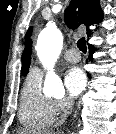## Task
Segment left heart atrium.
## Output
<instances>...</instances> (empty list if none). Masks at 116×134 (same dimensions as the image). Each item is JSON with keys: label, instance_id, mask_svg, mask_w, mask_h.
I'll return each mask as SVG.
<instances>
[{"label": "left heart atrium", "instance_id": "left-heart-atrium-1", "mask_svg": "<svg viewBox=\"0 0 116 134\" xmlns=\"http://www.w3.org/2000/svg\"><path fill=\"white\" fill-rule=\"evenodd\" d=\"M64 83L67 93L71 97H76L86 86V76L80 68L72 67L66 71Z\"/></svg>", "mask_w": 116, "mask_h": 134}]
</instances>
